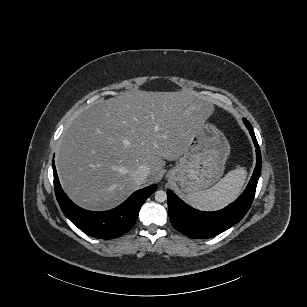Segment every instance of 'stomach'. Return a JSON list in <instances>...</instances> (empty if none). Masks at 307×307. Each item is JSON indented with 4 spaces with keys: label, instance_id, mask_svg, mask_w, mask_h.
<instances>
[{
    "label": "stomach",
    "instance_id": "stomach-1",
    "mask_svg": "<svg viewBox=\"0 0 307 307\" xmlns=\"http://www.w3.org/2000/svg\"><path fill=\"white\" fill-rule=\"evenodd\" d=\"M231 153L230 142L215 122L206 116L191 136L185 153L167 174L185 192L208 189L221 180Z\"/></svg>",
    "mask_w": 307,
    "mask_h": 307
}]
</instances>
